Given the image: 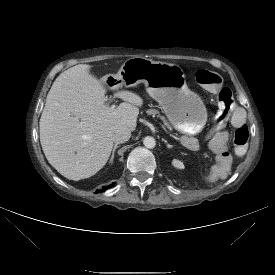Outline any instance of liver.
Masks as SVG:
<instances>
[{"label": "liver", "instance_id": "6515ba94", "mask_svg": "<svg viewBox=\"0 0 275 275\" xmlns=\"http://www.w3.org/2000/svg\"><path fill=\"white\" fill-rule=\"evenodd\" d=\"M79 64L61 73L46 98L39 126L40 142L48 162L64 177L78 181L96 174L107 163L113 134L119 128L135 131L143 99L122 90L124 102L106 104L103 78Z\"/></svg>", "mask_w": 275, "mask_h": 275}]
</instances>
